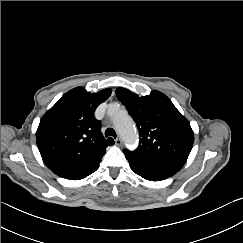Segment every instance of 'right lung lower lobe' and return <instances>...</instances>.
Instances as JSON below:
<instances>
[{"label": "right lung lower lobe", "instance_id": "1", "mask_svg": "<svg viewBox=\"0 0 243 243\" xmlns=\"http://www.w3.org/2000/svg\"><path fill=\"white\" fill-rule=\"evenodd\" d=\"M99 165L81 173V174H78V175H74V176H70V177H66V179H70V180H80V179H83L85 177H87L88 175L92 174L93 172H95L97 169H98Z\"/></svg>", "mask_w": 243, "mask_h": 243}]
</instances>
